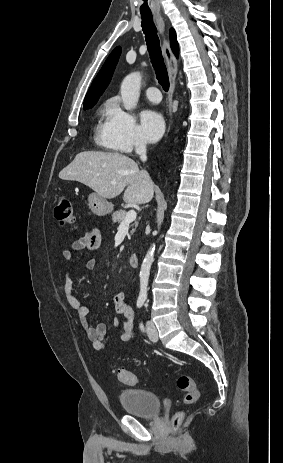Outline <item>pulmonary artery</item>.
<instances>
[{
    "mask_svg": "<svg viewBox=\"0 0 283 463\" xmlns=\"http://www.w3.org/2000/svg\"><path fill=\"white\" fill-rule=\"evenodd\" d=\"M146 97L153 103H158L162 96L156 87H149L145 90Z\"/></svg>",
    "mask_w": 283,
    "mask_h": 463,
    "instance_id": "e3ab8cb5",
    "label": "pulmonary artery"
}]
</instances>
